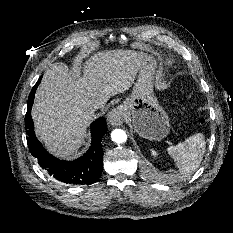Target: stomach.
Returning a JSON list of instances; mask_svg holds the SVG:
<instances>
[{
  "label": "stomach",
  "instance_id": "obj_1",
  "mask_svg": "<svg viewBox=\"0 0 233 233\" xmlns=\"http://www.w3.org/2000/svg\"><path fill=\"white\" fill-rule=\"evenodd\" d=\"M155 60L145 55L131 95L120 106L134 131L148 140H162L170 130L168 116L153 93Z\"/></svg>",
  "mask_w": 233,
  "mask_h": 233
}]
</instances>
